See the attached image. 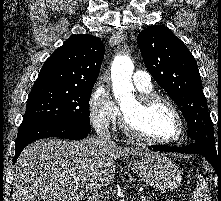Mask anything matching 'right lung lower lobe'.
I'll list each match as a JSON object with an SVG mask.
<instances>
[{
  "instance_id": "1",
  "label": "right lung lower lobe",
  "mask_w": 221,
  "mask_h": 201,
  "mask_svg": "<svg viewBox=\"0 0 221 201\" xmlns=\"http://www.w3.org/2000/svg\"><path fill=\"white\" fill-rule=\"evenodd\" d=\"M90 131L91 129L64 122L37 121L26 125L21 124L15 142L14 163L23 148L33 141L48 137L78 140L87 137Z\"/></svg>"
}]
</instances>
